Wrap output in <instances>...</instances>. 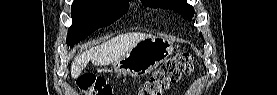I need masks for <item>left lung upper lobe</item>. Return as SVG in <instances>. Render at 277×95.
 <instances>
[{
	"label": "left lung upper lobe",
	"instance_id": "left-lung-upper-lobe-1",
	"mask_svg": "<svg viewBox=\"0 0 277 95\" xmlns=\"http://www.w3.org/2000/svg\"><path fill=\"white\" fill-rule=\"evenodd\" d=\"M141 2L149 7L172 9L185 19L192 20L194 15L193 7L187 3V0H141Z\"/></svg>",
	"mask_w": 277,
	"mask_h": 95
}]
</instances>
